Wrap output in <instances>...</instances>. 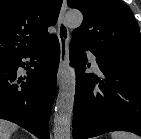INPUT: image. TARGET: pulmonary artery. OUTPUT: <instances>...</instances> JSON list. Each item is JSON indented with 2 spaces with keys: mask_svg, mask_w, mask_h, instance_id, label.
<instances>
[{
  "mask_svg": "<svg viewBox=\"0 0 141 139\" xmlns=\"http://www.w3.org/2000/svg\"><path fill=\"white\" fill-rule=\"evenodd\" d=\"M87 54H88V57H89V59H90L92 65H93V67H94L95 69H98V65H97L95 56H94L91 52H88Z\"/></svg>",
  "mask_w": 141,
  "mask_h": 139,
  "instance_id": "e3ab8cb5",
  "label": "pulmonary artery"
}]
</instances>
